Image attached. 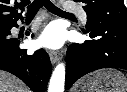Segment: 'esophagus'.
<instances>
[{
    "label": "esophagus",
    "mask_w": 127,
    "mask_h": 92,
    "mask_svg": "<svg viewBox=\"0 0 127 92\" xmlns=\"http://www.w3.org/2000/svg\"><path fill=\"white\" fill-rule=\"evenodd\" d=\"M49 57H50V60H51L52 64H55L56 62H58L60 60L59 53L55 52V51H50L49 52Z\"/></svg>",
    "instance_id": "34e87169"
}]
</instances>
